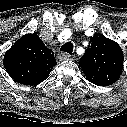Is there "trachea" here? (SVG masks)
I'll return each instance as SVG.
<instances>
[{
	"mask_svg": "<svg viewBox=\"0 0 127 127\" xmlns=\"http://www.w3.org/2000/svg\"><path fill=\"white\" fill-rule=\"evenodd\" d=\"M74 45L71 42H67L60 48V51L67 52L71 54L73 52Z\"/></svg>",
	"mask_w": 127,
	"mask_h": 127,
	"instance_id": "obj_1",
	"label": "trachea"
}]
</instances>
